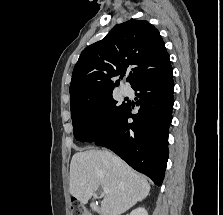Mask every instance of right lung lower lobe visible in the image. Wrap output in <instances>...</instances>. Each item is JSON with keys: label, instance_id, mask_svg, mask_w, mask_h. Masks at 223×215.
Listing matches in <instances>:
<instances>
[{"label": "right lung lower lobe", "instance_id": "obj_1", "mask_svg": "<svg viewBox=\"0 0 223 215\" xmlns=\"http://www.w3.org/2000/svg\"><path fill=\"white\" fill-rule=\"evenodd\" d=\"M139 91L137 114L127 104L119 123L103 138L95 142L114 151L135 170L162 184L168 160V128L172 121V69L161 77L146 80L132 87ZM133 122L128 123L127 119Z\"/></svg>", "mask_w": 223, "mask_h": 215}]
</instances>
